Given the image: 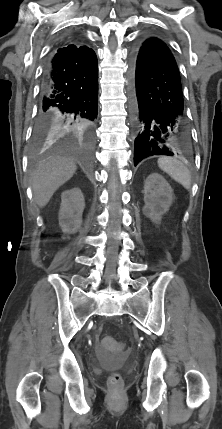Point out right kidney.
Listing matches in <instances>:
<instances>
[{
    "instance_id": "1",
    "label": "right kidney",
    "mask_w": 222,
    "mask_h": 429,
    "mask_svg": "<svg viewBox=\"0 0 222 429\" xmlns=\"http://www.w3.org/2000/svg\"><path fill=\"white\" fill-rule=\"evenodd\" d=\"M84 208V196L79 188L61 193L59 225L65 234H73L80 228Z\"/></svg>"
}]
</instances>
